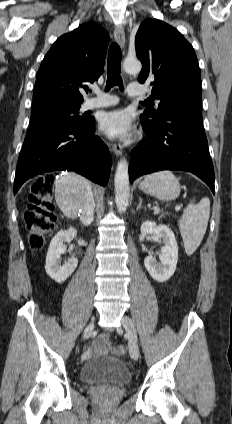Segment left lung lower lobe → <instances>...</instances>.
Wrapping results in <instances>:
<instances>
[{
    "mask_svg": "<svg viewBox=\"0 0 232 424\" xmlns=\"http://www.w3.org/2000/svg\"><path fill=\"white\" fill-rule=\"evenodd\" d=\"M147 139L132 150L129 179L160 170L189 171L215 193L214 168L203 128L202 109L175 107L152 122L140 116Z\"/></svg>",
    "mask_w": 232,
    "mask_h": 424,
    "instance_id": "1",
    "label": "left lung lower lobe"
}]
</instances>
